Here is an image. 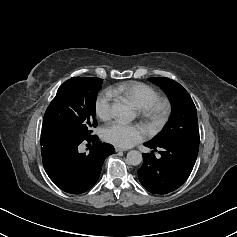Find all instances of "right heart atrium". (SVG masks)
Instances as JSON below:
<instances>
[{
	"label": "right heart atrium",
	"mask_w": 237,
	"mask_h": 237,
	"mask_svg": "<svg viewBox=\"0 0 237 237\" xmlns=\"http://www.w3.org/2000/svg\"><path fill=\"white\" fill-rule=\"evenodd\" d=\"M114 94L111 90L101 92L95 101L96 115L102 120H108L113 114Z\"/></svg>",
	"instance_id": "d8ad5b80"
}]
</instances>
